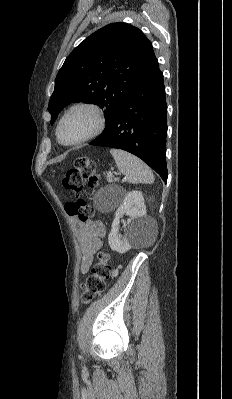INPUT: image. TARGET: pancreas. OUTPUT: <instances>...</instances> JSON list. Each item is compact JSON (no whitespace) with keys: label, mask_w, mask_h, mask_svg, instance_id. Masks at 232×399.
Here are the masks:
<instances>
[{"label":"pancreas","mask_w":232,"mask_h":399,"mask_svg":"<svg viewBox=\"0 0 232 399\" xmlns=\"http://www.w3.org/2000/svg\"><path fill=\"white\" fill-rule=\"evenodd\" d=\"M106 180H107V182H113V176H112V174H107Z\"/></svg>","instance_id":"1"}]
</instances>
